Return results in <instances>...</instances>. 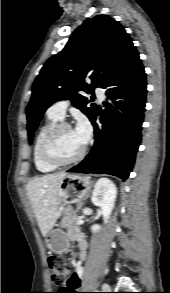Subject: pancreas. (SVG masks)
<instances>
[{
    "label": "pancreas",
    "instance_id": "obj_1",
    "mask_svg": "<svg viewBox=\"0 0 170 293\" xmlns=\"http://www.w3.org/2000/svg\"><path fill=\"white\" fill-rule=\"evenodd\" d=\"M78 210L79 209L73 210L71 207L64 209L60 226L68 230L77 229L78 221L81 219V217L77 214Z\"/></svg>",
    "mask_w": 170,
    "mask_h": 293
}]
</instances>
